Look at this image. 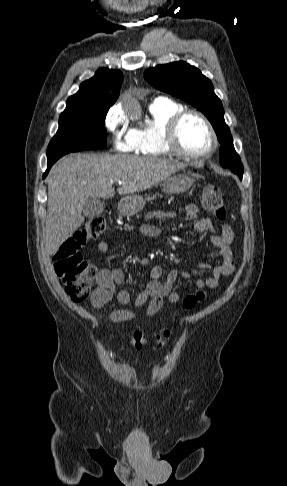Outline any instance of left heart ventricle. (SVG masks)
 Instances as JSON below:
<instances>
[{"label": "left heart ventricle", "mask_w": 287, "mask_h": 486, "mask_svg": "<svg viewBox=\"0 0 287 486\" xmlns=\"http://www.w3.org/2000/svg\"><path fill=\"white\" fill-rule=\"evenodd\" d=\"M178 138L181 146L190 152H203L211 146V137L206 126L193 115L182 121Z\"/></svg>", "instance_id": "obj_1"}]
</instances>
